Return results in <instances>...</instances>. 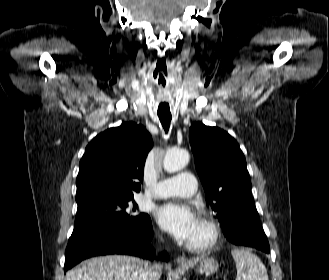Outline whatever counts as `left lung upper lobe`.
I'll list each match as a JSON object with an SVG mask.
<instances>
[{
    "label": "left lung upper lobe",
    "instance_id": "5c2ea615",
    "mask_svg": "<svg viewBox=\"0 0 329 280\" xmlns=\"http://www.w3.org/2000/svg\"><path fill=\"white\" fill-rule=\"evenodd\" d=\"M189 140L206 201L222 227L230 225L253 202L245 157L227 132L202 122L191 125Z\"/></svg>",
    "mask_w": 329,
    "mask_h": 280
}]
</instances>
